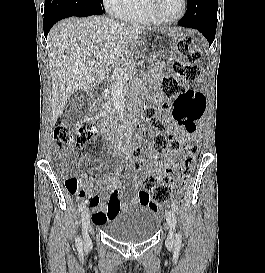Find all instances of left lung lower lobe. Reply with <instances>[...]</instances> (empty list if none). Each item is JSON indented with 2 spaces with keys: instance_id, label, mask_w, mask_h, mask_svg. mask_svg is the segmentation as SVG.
Segmentation results:
<instances>
[{
  "instance_id": "obj_1",
  "label": "left lung lower lobe",
  "mask_w": 265,
  "mask_h": 273,
  "mask_svg": "<svg viewBox=\"0 0 265 273\" xmlns=\"http://www.w3.org/2000/svg\"><path fill=\"white\" fill-rule=\"evenodd\" d=\"M212 10H217V0H189L187 12L178 24L197 29L212 44L217 26V18L207 16Z\"/></svg>"
}]
</instances>
